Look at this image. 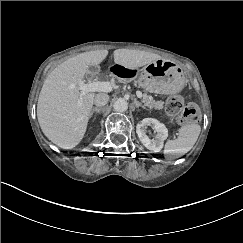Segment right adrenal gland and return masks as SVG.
<instances>
[{"label": "right adrenal gland", "instance_id": "obj_1", "mask_svg": "<svg viewBox=\"0 0 243 243\" xmlns=\"http://www.w3.org/2000/svg\"><path fill=\"white\" fill-rule=\"evenodd\" d=\"M102 111H103L102 107L93 108L92 111L90 112V116H89L90 119L93 117L94 113H95L94 119H96L97 114L101 113Z\"/></svg>", "mask_w": 243, "mask_h": 243}]
</instances>
